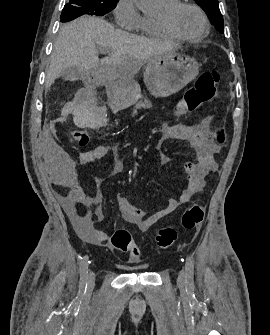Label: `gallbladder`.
Masks as SVG:
<instances>
[{"instance_id":"1","label":"gallbladder","mask_w":270,"mask_h":335,"mask_svg":"<svg viewBox=\"0 0 270 335\" xmlns=\"http://www.w3.org/2000/svg\"><path fill=\"white\" fill-rule=\"evenodd\" d=\"M65 80H69V82H75V80H83V78H87L86 72H81L79 68H66L64 72Z\"/></svg>"}]
</instances>
